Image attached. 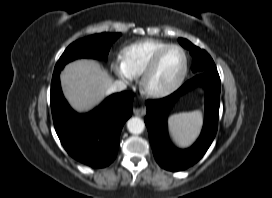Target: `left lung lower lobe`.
<instances>
[{"instance_id":"1","label":"left lung lower lobe","mask_w":272,"mask_h":198,"mask_svg":"<svg viewBox=\"0 0 272 198\" xmlns=\"http://www.w3.org/2000/svg\"><path fill=\"white\" fill-rule=\"evenodd\" d=\"M196 86H203L206 92L204 126L193 146L184 150L177 149L168 138L167 115L174 102ZM219 105L220 77L217 70L198 73L165 98L146 101L145 124L154 157L162 168L170 171L184 170L206 153L217 132Z\"/></svg>"}]
</instances>
